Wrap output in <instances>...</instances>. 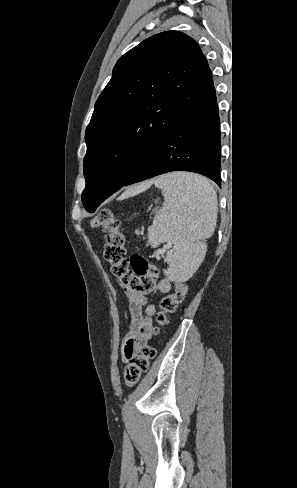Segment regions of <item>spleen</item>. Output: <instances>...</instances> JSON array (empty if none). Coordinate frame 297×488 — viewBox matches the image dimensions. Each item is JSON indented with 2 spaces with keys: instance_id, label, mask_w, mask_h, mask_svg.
I'll list each match as a JSON object with an SVG mask.
<instances>
[{
  "instance_id": "3e777b00",
  "label": "spleen",
  "mask_w": 297,
  "mask_h": 488,
  "mask_svg": "<svg viewBox=\"0 0 297 488\" xmlns=\"http://www.w3.org/2000/svg\"><path fill=\"white\" fill-rule=\"evenodd\" d=\"M162 190L164 203L148 229L152 246L168 242L166 274L181 279L185 261L193 268L198 264L200 241L212 235L217 218V197L211 184L203 177L173 172L154 180Z\"/></svg>"
}]
</instances>
